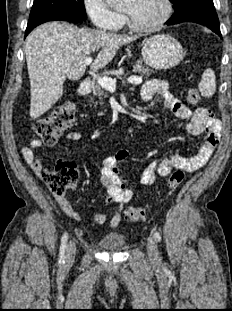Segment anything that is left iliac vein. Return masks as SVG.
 Returning <instances> with one entry per match:
<instances>
[{
	"mask_svg": "<svg viewBox=\"0 0 232 311\" xmlns=\"http://www.w3.org/2000/svg\"><path fill=\"white\" fill-rule=\"evenodd\" d=\"M147 252L150 258V261L153 263H159V252L157 241L154 238H151L147 243Z\"/></svg>",
	"mask_w": 232,
	"mask_h": 311,
	"instance_id": "left-iliac-vein-1",
	"label": "left iliac vein"
}]
</instances>
